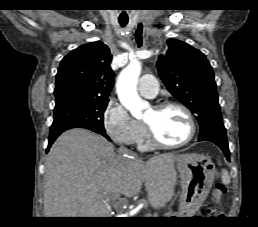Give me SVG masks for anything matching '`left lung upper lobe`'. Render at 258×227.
<instances>
[{"mask_svg":"<svg viewBox=\"0 0 258 227\" xmlns=\"http://www.w3.org/2000/svg\"><path fill=\"white\" fill-rule=\"evenodd\" d=\"M166 55L157 67L168 91L197 115L199 141L209 137L227 138L213 70L205 55L185 42L168 39Z\"/></svg>","mask_w":258,"mask_h":227,"instance_id":"left-lung-upper-lobe-1","label":"left lung upper lobe"}]
</instances>
